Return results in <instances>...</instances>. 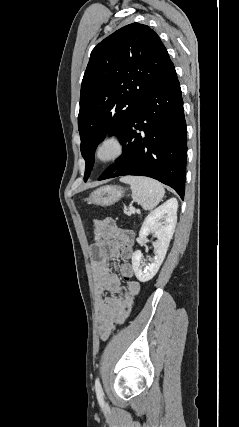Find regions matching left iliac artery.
<instances>
[{"instance_id":"left-iliac-artery-1","label":"left iliac artery","mask_w":239,"mask_h":427,"mask_svg":"<svg viewBox=\"0 0 239 427\" xmlns=\"http://www.w3.org/2000/svg\"><path fill=\"white\" fill-rule=\"evenodd\" d=\"M95 390H96V395L98 400L100 402H103V392H102L101 384L98 378H96L95 380Z\"/></svg>"}]
</instances>
